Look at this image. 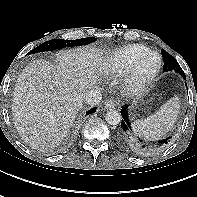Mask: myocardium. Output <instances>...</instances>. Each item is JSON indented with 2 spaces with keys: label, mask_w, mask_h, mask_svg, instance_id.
<instances>
[{
  "label": "myocardium",
  "mask_w": 197,
  "mask_h": 197,
  "mask_svg": "<svg viewBox=\"0 0 197 197\" xmlns=\"http://www.w3.org/2000/svg\"><path fill=\"white\" fill-rule=\"evenodd\" d=\"M156 56L158 58V64L156 69L147 76H141L139 74L140 64L149 56ZM162 67L161 55L156 51H149L141 55L130 67L128 72L125 74L122 88L127 95L136 96L143 94L148 87L152 84L155 78L158 76Z\"/></svg>",
  "instance_id": "obj_1"
}]
</instances>
